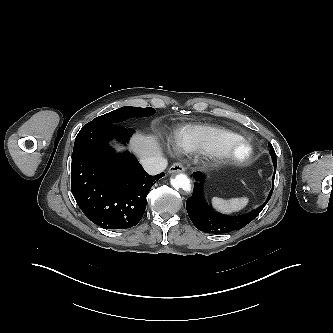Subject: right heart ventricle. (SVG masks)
<instances>
[{"label":"right heart ventricle","mask_w":333,"mask_h":333,"mask_svg":"<svg viewBox=\"0 0 333 333\" xmlns=\"http://www.w3.org/2000/svg\"><path fill=\"white\" fill-rule=\"evenodd\" d=\"M227 129L207 124H190L180 127L173 135L174 146L184 152H210L220 142L237 138Z\"/></svg>","instance_id":"right-heart-ventricle-1"}]
</instances>
